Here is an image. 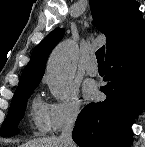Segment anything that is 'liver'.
Segmentation results:
<instances>
[{"label": "liver", "mask_w": 145, "mask_h": 147, "mask_svg": "<svg viewBox=\"0 0 145 147\" xmlns=\"http://www.w3.org/2000/svg\"><path fill=\"white\" fill-rule=\"evenodd\" d=\"M20 147H63L58 137H48L37 140H32L22 144Z\"/></svg>", "instance_id": "liver-1"}]
</instances>
